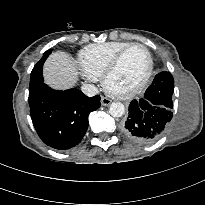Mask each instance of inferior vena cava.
<instances>
[{
  "mask_svg": "<svg viewBox=\"0 0 205 205\" xmlns=\"http://www.w3.org/2000/svg\"><path fill=\"white\" fill-rule=\"evenodd\" d=\"M81 90L88 97H93L99 93L98 88L92 84H83Z\"/></svg>",
  "mask_w": 205,
  "mask_h": 205,
  "instance_id": "602c4592",
  "label": "inferior vena cava"
}]
</instances>
